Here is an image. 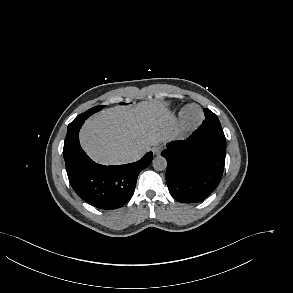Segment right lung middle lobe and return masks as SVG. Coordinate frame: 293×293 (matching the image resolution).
<instances>
[{
    "label": "right lung middle lobe",
    "mask_w": 293,
    "mask_h": 293,
    "mask_svg": "<svg viewBox=\"0 0 293 293\" xmlns=\"http://www.w3.org/2000/svg\"><path fill=\"white\" fill-rule=\"evenodd\" d=\"M103 107L104 106H96V107H93V108L89 109L87 112H85L83 114H89V115H91V114H93L95 112L100 111Z\"/></svg>",
    "instance_id": "1"
}]
</instances>
